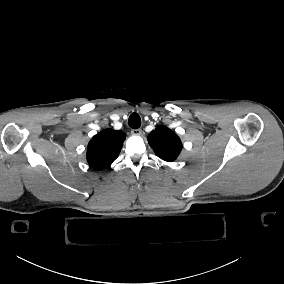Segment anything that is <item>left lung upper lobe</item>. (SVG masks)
<instances>
[{
  "label": "left lung upper lobe",
  "mask_w": 284,
  "mask_h": 284,
  "mask_svg": "<svg viewBox=\"0 0 284 284\" xmlns=\"http://www.w3.org/2000/svg\"><path fill=\"white\" fill-rule=\"evenodd\" d=\"M148 142L155 154L167 162L174 161L182 149L180 138L165 126H157L149 134Z\"/></svg>",
  "instance_id": "1"
}]
</instances>
